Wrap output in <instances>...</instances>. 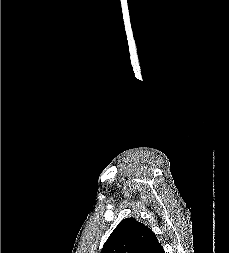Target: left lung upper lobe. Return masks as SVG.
Here are the masks:
<instances>
[{
    "mask_svg": "<svg viewBox=\"0 0 229 253\" xmlns=\"http://www.w3.org/2000/svg\"><path fill=\"white\" fill-rule=\"evenodd\" d=\"M156 235L135 218L123 219L105 242L101 253H155Z\"/></svg>",
    "mask_w": 229,
    "mask_h": 253,
    "instance_id": "obj_1",
    "label": "left lung upper lobe"
}]
</instances>
